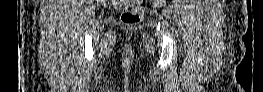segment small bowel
<instances>
[{"instance_id":"obj_1","label":"small bowel","mask_w":263,"mask_h":92,"mask_svg":"<svg viewBox=\"0 0 263 92\" xmlns=\"http://www.w3.org/2000/svg\"><path fill=\"white\" fill-rule=\"evenodd\" d=\"M121 2L127 3V2H130V1H121Z\"/></svg>"}]
</instances>
